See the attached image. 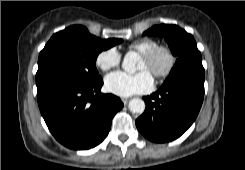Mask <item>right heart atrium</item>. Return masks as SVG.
<instances>
[{"label": "right heart atrium", "instance_id": "d8ad5b80", "mask_svg": "<svg viewBox=\"0 0 245 170\" xmlns=\"http://www.w3.org/2000/svg\"><path fill=\"white\" fill-rule=\"evenodd\" d=\"M121 53L114 47L102 50L95 59V64L101 70L107 71L120 64Z\"/></svg>", "mask_w": 245, "mask_h": 170}]
</instances>
